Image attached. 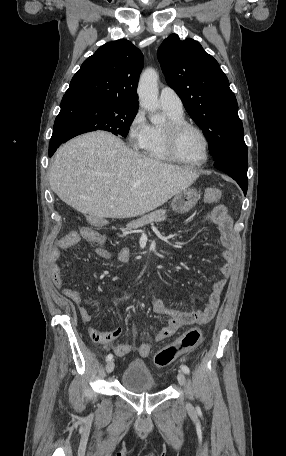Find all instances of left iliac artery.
<instances>
[{
  "mask_svg": "<svg viewBox=\"0 0 286 456\" xmlns=\"http://www.w3.org/2000/svg\"><path fill=\"white\" fill-rule=\"evenodd\" d=\"M181 369H182V371H183L185 374H189V373H190V369H189L188 366H186V365H181Z\"/></svg>",
  "mask_w": 286,
  "mask_h": 456,
  "instance_id": "1",
  "label": "left iliac artery"
}]
</instances>
